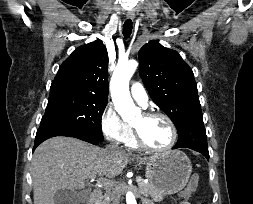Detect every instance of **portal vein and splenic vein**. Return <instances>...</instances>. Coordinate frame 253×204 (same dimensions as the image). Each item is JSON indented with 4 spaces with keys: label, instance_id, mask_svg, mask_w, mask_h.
Returning <instances> with one entry per match:
<instances>
[{
    "label": "portal vein and splenic vein",
    "instance_id": "18ae733b",
    "mask_svg": "<svg viewBox=\"0 0 253 204\" xmlns=\"http://www.w3.org/2000/svg\"><path fill=\"white\" fill-rule=\"evenodd\" d=\"M95 178H96V175L95 176H93V177H91V181H94L95 180ZM142 181V178L141 177H136V182H141ZM97 185L98 186H109V185H111L108 181H104V180H102V179H99V180H97Z\"/></svg>",
    "mask_w": 253,
    "mask_h": 204
}]
</instances>
